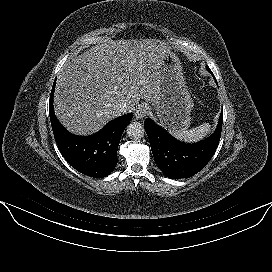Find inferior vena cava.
<instances>
[{
	"label": "inferior vena cava",
	"mask_w": 272,
	"mask_h": 272,
	"mask_svg": "<svg viewBox=\"0 0 272 272\" xmlns=\"http://www.w3.org/2000/svg\"><path fill=\"white\" fill-rule=\"evenodd\" d=\"M115 112L118 115L124 114L128 111V105L126 103H120L114 107Z\"/></svg>",
	"instance_id": "1"
}]
</instances>
